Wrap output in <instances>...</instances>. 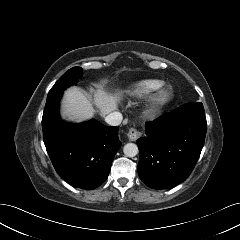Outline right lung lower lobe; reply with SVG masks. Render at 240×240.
I'll return each instance as SVG.
<instances>
[{
	"instance_id": "98d812e1",
	"label": "right lung lower lobe",
	"mask_w": 240,
	"mask_h": 240,
	"mask_svg": "<svg viewBox=\"0 0 240 240\" xmlns=\"http://www.w3.org/2000/svg\"><path fill=\"white\" fill-rule=\"evenodd\" d=\"M62 94L47 97L42 117L46 150L63 180L77 188L95 189L107 179L121 146L119 129L96 120L74 125L63 122L59 116Z\"/></svg>"
}]
</instances>
